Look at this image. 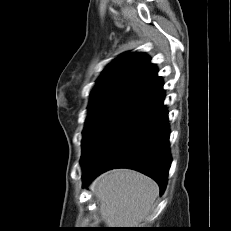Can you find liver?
Returning <instances> with one entry per match:
<instances>
[{"mask_svg":"<svg viewBox=\"0 0 231 231\" xmlns=\"http://www.w3.org/2000/svg\"><path fill=\"white\" fill-rule=\"evenodd\" d=\"M90 189L100 202L101 218L109 228L143 226L159 193L151 178L127 169L100 175Z\"/></svg>","mask_w":231,"mask_h":231,"instance_id":"obj_1","label":"liver"}]
</instances>
